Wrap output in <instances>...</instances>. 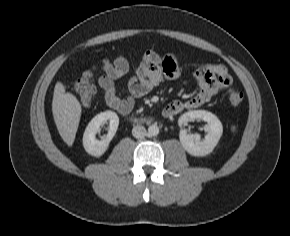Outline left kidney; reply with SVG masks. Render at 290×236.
<instances>
[{
  "label": "left kidney",
  "mask_w": 290,
  "mask_h": 236,
  "mask_svg": "<svg viewBox=\"0 0 290 236\" xmlns=\"http://www.w3.org/2000/svg\"><path fill=\"white\" fill-rule=\"evenodd\" d=\"M193 120H203L207 122L205 130L207 134L204 139L199 134H187L181 129L179 138L183 148L192 156H206L210 154L218 144L223 133V126L220 120L211 112L204 110H194L184 113L179 118V125Z\"/></svg>",
  "instance_id": "1"
}]
</instances>
